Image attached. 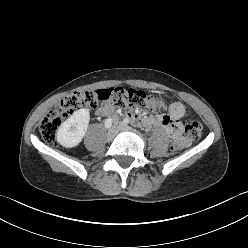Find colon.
<instances>
[{
    "label": "colon",
    "instance_id": "colon-1",
    "mask_svg": "<svg viewBox=\"0 0 248 248\" xmlns=\"http://www.w3.org/2000/svg\"><path fill=\"white\" fill-rule=\"evenodd\" d=\"M145 92L133 88L114 87L100 90L75 91L63 98L55 108L43 118L39 129L47 144H55L56 134L65 119L82 107H97L100 103L113 105L122 109L146 110ZM202 125L197 120H190L185 126V135L173 140L171 151L177 152L187 147L192 141L201 137Z\"/></svg>",
    "mask_w": 248,
    "mask_h": 248
}]
</instances>
